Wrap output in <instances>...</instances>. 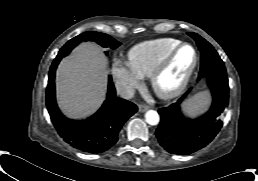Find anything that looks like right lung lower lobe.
<instances>
[{
  "label": "right lung lower lobe",
  "instance_id": "98d812e1",
  "mask_svg": "<svg viewBox=\"0 0 258 181\" xmlns=\"http://www.w3.org/2000/svg\"><path fill=\"white\" fill-rule=\"evenodd\" d=\"M62 58L56 57L50 67L46 92V105L58 134L72 147L89 153L109 150L118 140V133L137 111L132 102L118 98L109 78L107 98L102 107L83 121H72L62 115L55 99V71Z\"/></svg>",
  "mask_w": 258,
  "mask_h": 181
}]
</instances>
